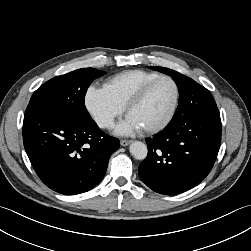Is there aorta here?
<instances>
[{
    "mask_svg": "<svg viewBox=\"0 0 251 251\" xmlns=\"http://www.w3.org/2000/svg\"><path fill=\"white\" fill-rule=\"evenodd\" d=\"M130 153L135 159L144 160L147 157L148 149L146 144L140 141H134L129 147Z\"/></svg>",
    "mask_w": 251,
    "mask_h": 251,
    "instance_id": "762f6f07",
    "label": "aorta"
}]
</instances>
